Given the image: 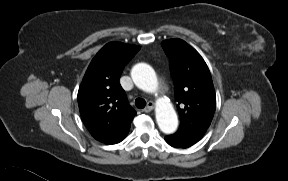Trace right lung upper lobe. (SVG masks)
<instances>
[{
    "label": "right lung upper lobe",
    "mask_w": 288,
    "mask_h": 181,
    "mask_svg": "<svg viewBox=\"0 0 288 181\" xmlns=\"http://www.w3.org/2000/svg\"><path fill=\"white\" fill-rule=\"evenodd\" d=\"M140 49L120 42L106 44L91 61L78 91L82 120L98 141L115 144L129 132L136 111L119 83L124 66Z\"/></svg>",
    "instance_id": "1"
}]
</instances>
